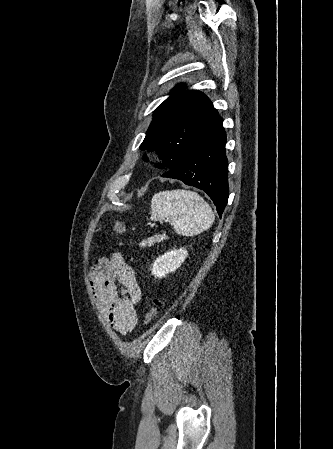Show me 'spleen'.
Segmentation results:
<instances>
[{"label": "spleen", "mask_w": 333, "mask_h": 449, "mask_svg": "<svg viewBox=\"0 0 333 449\" xmlns=\"http://www.w3.org/2000/svg\"><path fill=\"white\" fill-rule=\"evenodd\" d=\"M151 220H171L177 234L197 235L209 229L214 214L209 204L197 193L176 189L156 193L151 200Z\"/></svg>", "instance_id": "1"}]
</instances>
